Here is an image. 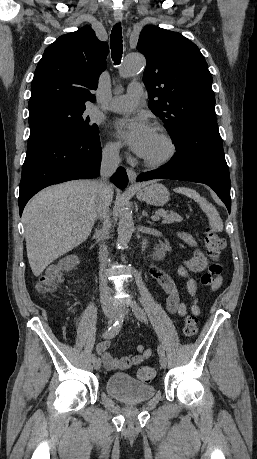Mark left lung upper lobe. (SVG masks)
<instances>
[{
    "mask_svg": "<svg viewBox=\"0 0 257 459\" xmlns=\"http://www.w3.org/2000/svg\"><path fill=\"white\" fill-rule=\"evenodd\" d=\"M137 49L146 57L143 81L148 106L173 141L190 124L215 120L212 75L198 47L178 32L149 25Z\"/></svg>",
    "mask_w": 257,
    "mask_h": 459,
    "instance_id": "obj_1",
    "label": "left lung upper lobe"
}]
</instances>
